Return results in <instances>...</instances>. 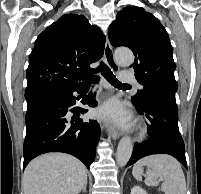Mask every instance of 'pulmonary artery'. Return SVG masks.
<instances>
[{
  "mask_svg": "<svg viewBox=\"0 0 201 194\" xmlns=\"http://www.w3.org/2000/svg\"><path fill=\"white\" fill-rule=\"evenodd\" d=\"M119 80L122 83H127V84L135 83L136 85H138L134 75L130 71H122V72H120L119 73Z\"/></svg>",
  "mask_w": 201,
  "mask_h": 194,
  "instance_id": "obj_1",
  "label": "pulmonary artery"
}]
</instances>
